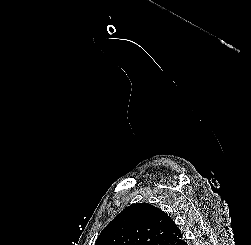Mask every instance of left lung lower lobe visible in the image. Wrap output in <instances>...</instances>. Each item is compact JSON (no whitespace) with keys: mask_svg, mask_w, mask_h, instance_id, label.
<instances>
[{"mask_svg":"<svg viewBox=\"0 0 251 245\" xmlns=\"http://www.w3.org/2000/svg\"><path fill=\"white\" fill-rule=\"evenodd\" d=\"M177 245H187L186 241L183 239L182 241H180Z\"/></svg>","mask_w":251,"mask_h":245,"instance_id":"left-lung-lower-lobe-1","label":"left lung lower lobe"}]
</instances>
